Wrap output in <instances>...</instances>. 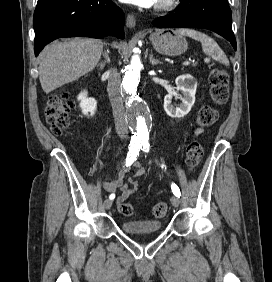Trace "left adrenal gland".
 I'll list each match as a JSON object with an SVG mask.
<instances>
[{
	"label": "left adrenal gland",
	"instance_id": "obj_1",
	"mask_svg": "<svg viewBox=\"0 0 272 282\" xmlns=\"http://www.w3.org/2000/svg\"><path fill=\"white\" fill-rule=\"evenodd\" d=\"M149 59H150V63H151L152 65H157V64L163 63V62H161L160 60L155 59L152 52L150 53Z\"/></svg>",
	"mask_w": 272,
	"mask_h": 282
}]
</instances>
